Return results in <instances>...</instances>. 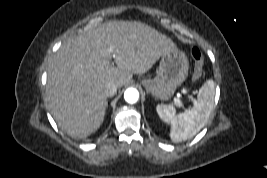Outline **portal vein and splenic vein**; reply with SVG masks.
Listing matches in <instances>:
<instances>
[{"label":"portal vein and splenic vein","instance_id":"obj_1","mask_svg":"<svg viewBox=\"0 0 267 178\" xmlns=\"http://www.w3.org/2000/svg\"><path fill=\"white\" fill-rule=\"evenodd\" d=\"M110 52H111V50H110ZM174 102H175V104H176L178 107H181L182 103H181V101L179 100V98H174Z\"/></svg>","mask_w":267,"mask_h":178}]
</instances>
